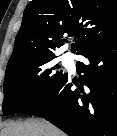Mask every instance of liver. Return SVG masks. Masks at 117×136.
Returning <instances> with one entry per match:
<instances>
[{
	"mask_svg": "<svg viewBox=\"0 0 117 136\" xmlns=\"http://www.w3.org/2000/svg\"><path fill=\"white\" fill-rule=\"evenodd\" d=\"M3 134L5 136H65L55 126L41 119L8 124Z\"/></svg>",
	"mask_w": 117,
	"mask_h": 136,
	"instance_id": "1",
	"label": "liver"
}]
</instances>
